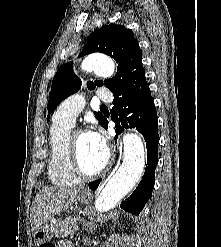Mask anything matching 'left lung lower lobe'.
I'll return each mask as SVG.
<instances>
[{
    "label": "left lung lower lobe",
    "mask_w": 221,
    "mask_h": 247,
    "mask_svg": "<svg viewBox=\"0 0 221 247\" xmlns=\"http://www.w3.org/2000/svg\"><path fill=\"white\" fill-rule=\"evenodd\" d=\"M111 120L115 123L116 137L122 133L124 128H136L146 141L147 165L143 179L135 191L120 205L125 211L139 215L146 202L152 196L155 182V169L157 165L159 135L157 130L158 120L154 99L150 90L127 99L113 100ZM108 128L107 119L102 125ZM101 180L89 184V188L96 190Z\"/></svg>",
    "instance_id": "1"
}]
</instances>
